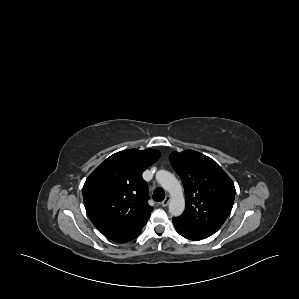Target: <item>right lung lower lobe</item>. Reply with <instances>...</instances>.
<instances>
[{
    "mask_svg": "<svg viewBox=\"0 0 299 299\" xmlns=\"http://www.w3.org/2000/svg\"><path fill=\"white\" fill-rule=\"evenodd\" d=\"M141 232L137 233V234H134L132 236H128V237H124V238H120V239H116V240H113L115 242H118V243H125V242H129L133 239H135Z\"/></svg>",
    "mask_w": 299,
    "mask_h": 299,
    "instance_id": "right-lung-lower-lobe-1",
    "label": "right lung lower lobe"
}]
</instances>
